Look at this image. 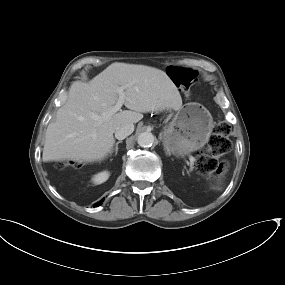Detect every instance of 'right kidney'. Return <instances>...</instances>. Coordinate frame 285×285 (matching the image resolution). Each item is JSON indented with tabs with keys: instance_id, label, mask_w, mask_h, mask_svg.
I'll use <instances>...</instances> for the list:
<instances>
[{
	"instance_id": "ca27d5eb",
	"label": "right kidney",
	"mask_w": 285,
	"mask_h": 285,
	"mask_svg": "<svg viewBox=\"0 0 285 285\" xmlns=\"http://www.w3.org/2000/svg\"><path fill=\"white\" fill-rule=\"evenodd\" d=\"M109 176H110V173L108 171H102L94 175L92 180L95 184H101L105 182L109 178Z\"/></svg>"
}]
</instances>
